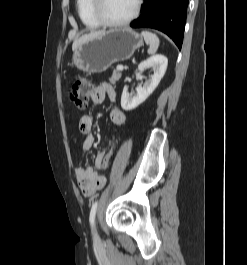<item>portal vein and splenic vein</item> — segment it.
Masks as SVG:
<instances>
[{
  "label": "portal vein and splenic vein",
  "mask_w": 247,
  "mask_h": 265,
  "mask_svg": "<svg viewBox=\"0 0 247 265\" xmlns=\"http://www.w3.org/2000/svg\"><path fill=\"white\" fill-rule=\"evenodd\" d=\"M117 69L121 71V70L124 69V67H123V65H118V66H117Z\"/></svg>",
  "instance_id": "portal-vein-and-splenic-vein-1"
}]
</instances>
